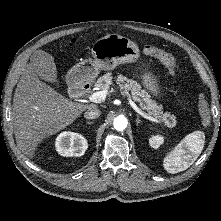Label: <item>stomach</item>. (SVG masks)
Here are the masks:
<instances>
[{"instance_id": "1", "label": "stomach", "mask_w": 221, "mask_h": 221, "mask_svg": "<svg viewBox=\"0 0 221 221\" xmlns=\"http://www.w3.org/2000/svg\"><path fill=\"white\" fill-rule=\"evenodd\" d=\"M91 53L93 58L79 62L69 70L68 76L73 85L91 82L101 70L111 71L120 64L134 63L140 56L138 46L118 34H108L98 39ZM142 83L154 95L160 94L158 79L147 69L142 74Z\"/></svg>"}]
</instances>
